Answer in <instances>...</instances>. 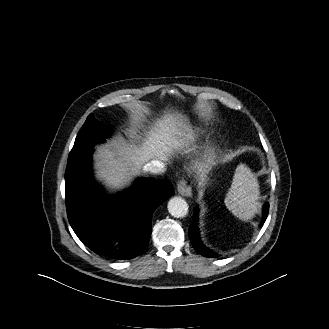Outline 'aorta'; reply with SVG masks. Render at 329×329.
I'll use <instances>...</instances> for the list:
<instances>
[{"mask_svg": "<svg viewBox=\"0 0 329 329\" xmlns=\"http://www.w3.org/2000/svg\"><path fill=\"white\" fill-rule=\"evenodd\" d=\"M168 212L176 218L185 217L188 214V203L181 197H173L169 200Z\"/></svg>", "mask_w": 329, "mask_h": 329, "instance_id": "aorta-1", "label": "aorta"}]
</instances>
